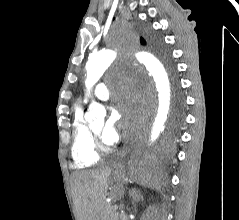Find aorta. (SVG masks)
<instances>
[{
	"label": "aorta",
	"instance_id": "1",
	"mask_svg": "<svg viewBox=\"0 0 239 220\" xmlns=\"http://www.w3.org/2000/svg\"><path fill=\"white\" fill-rule=\"evenodd\" d=\"M117 40H129V37H124V33H116ZM121 46L130 45H112L111 47L92 54L86 64L87 79L86 87L88 91L100 79L106 69L113 63L117 57V53H112V48H121ZM126 52V51H125ZM138 55L139 64H143L147 70L148 76L151 77L158 92V110L154 118L151 133L150 143H154L164 130V125L168 119L170 110V82L167 70L164 64L150 51H135ZM129 58V57H128ZM106 115V110L103 106L96 102H92L89 106L86 118L89 121L102 119Z\"/></svg>",
	"mask_w": 239,
	"mask_h": 220
}]
</instances>
